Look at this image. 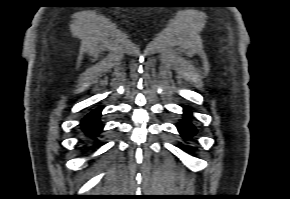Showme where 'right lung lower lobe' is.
<instances>
[{
	"label": "right lung lower lobe",
	"instance_id": "obj_1",
	"mask_svg": "<svg viewBox=\"0 0 290 199\" xmlns=\"http://www.w3.org/2000/svg\"><path fill=\"white\" fill-rule=\"evenodd\" d=\"M100 115L99 110H94L83 118L81 126L88 135H96L103 129V126L99 123Z\"/></svg>",
	"mask_w": 290,
	"mask_h": 199
}]
</instances>
